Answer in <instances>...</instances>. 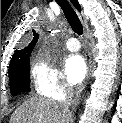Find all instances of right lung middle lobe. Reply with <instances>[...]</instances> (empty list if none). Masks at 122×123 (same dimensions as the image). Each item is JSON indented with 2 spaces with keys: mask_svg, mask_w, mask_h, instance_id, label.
<instances>
[{
  "mask_svg": "<svg viewBox=\"0 0 122 123\" xmlns=\"http://www.w3.org/2000/svg\"><path fill=\"white\" fill-rule=\"evenodd\" d=\"M10 90L13 96L20 92L30 91V64L29 60L9 70Z\"/></svg>",
  "mask_w": 122,
  "mask_h": 123,
  "instance_id": "right-lung-middle-lobe-1",
  "label": "right lung middle lobe"
}]
</instances>
